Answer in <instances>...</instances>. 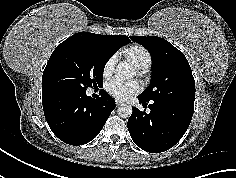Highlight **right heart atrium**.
<instances>
[{
    "mask_svg": "<svg viewBox=\"0 0 236 178\" xmlns=\"http://www.w3.org/2000/svg\"><path fill=\"white\" fill-rule=\"evenodd\" d=\"M116 60H117L116 56L113 55L109 57L104 63L102 73L105 78H108L112 75L115 64H116Z\"/></svg>",
    "mask_w": 236,
    "mask_h": 178,
    "instance_id": "d8ad5b80",
    "label": "right heart atrium"
}]
</instances>
